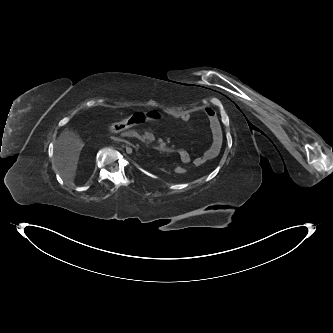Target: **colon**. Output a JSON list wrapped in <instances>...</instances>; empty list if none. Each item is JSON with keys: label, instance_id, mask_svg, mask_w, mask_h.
<instances>
[{"label": "colon", "instance_id": "colon-1", "mask_svg": "<svg viewBox=\"0 0 333 333\" xmlns=\"http://www.w3.org/2000/svg\"><path fill=\"white\" fill-rule=\"evenodd\" d=\"M162 118V113L159 110H152L143 113L129 114L126 118L117 121L109 127L111 132H118L125 127H131L134 124H144L152 121H159ZM173 171L186 174L189 171V168L186 165L179 164L178 166H173Z\"/></svg>", "mask_w": 333, "mask_h": 333}]
</instances>
